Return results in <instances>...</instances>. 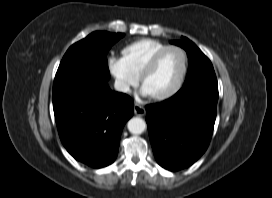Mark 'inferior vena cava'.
Here are the masks:
<instances>
[{
    "mask_svg": "<svg viewBox=\"0 0 272 198\" xmlns=\"http://www.w3.org/2000/svg\"><path fill=\"white\" fill-rule=\"evenodd\" d=\"M114 88L115 90L117 91H120V92H128L130 90L129 88V85L126 84L125 82L123 81H120V80H116L115 83H114Z\"/></svg>",
    "mask_w": 272,
    "mask_h": 198,
    "instance_id": "obj_1",
    "label": "inferior vena cava"
}]
</instances>
